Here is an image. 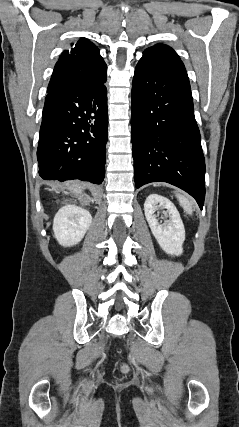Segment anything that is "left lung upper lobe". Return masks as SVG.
I'll return each instance as SVG.
<instances>
[{"instance_id": "left-lung-upper-lobe-1", "label": "left lung upper lobe", "mask_w": 239, "mask_h": 427, "mask_svg": "<svg viewBox=\"0 0 239 427\" xmlns=\"http://www.w3.org/2000/svg\"><path fill=\"white\" fill-rule=\"evenodd\" d=\"M139 62L189 81L184 64L169 46L157 44L149 47Z\"/></svg>"}]
</instances>
